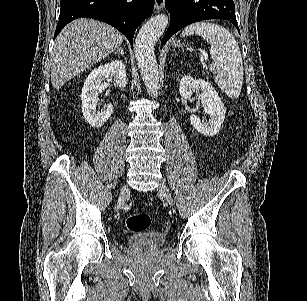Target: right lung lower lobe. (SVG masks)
<instances>
[{
  "label": "right lung lower lobe",
  "mask_w": 307,
  "mask_h": 301,
  "mask_svg": "<svg viewBox=\"0 0 307 301\" xmlns=\"http://www.w3.org/2000/svg\"><path fill=\"white\" fill-rule=\"evenodd\" d=\"M60 5L54 38L72 20L89 17L114 26L133 46L134 32L141 21L151 16L154 0H61Z\"/></svg>",
  "instance_id": "1"
}]
</instances>
